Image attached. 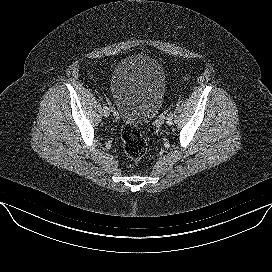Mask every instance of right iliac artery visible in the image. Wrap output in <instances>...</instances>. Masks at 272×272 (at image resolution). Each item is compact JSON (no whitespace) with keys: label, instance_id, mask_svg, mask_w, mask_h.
Segmentation results:
<instances>
[{"label":"right iliac artery","instance_id":"right-iliac-artery-1","mask_svg":"<svg viewBox=\"0 0 272 272\" xmlns=\"http://www.w3.org/2000/svg\"><path fill=\"white\" fill-rule=\"evenodd\" d=\"M104 105V107L103 108H108L107 106H106V104H103Z\"/></svg>","mask_w":272,"mask_h":272}]
</instances>
